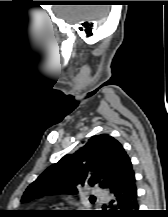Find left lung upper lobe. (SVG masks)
Wrapping results in <instances>:
<instances>
[{
  "mask_svg": "<svg viewBox=\"0 0 168 217\" xmlns=\"http://www.w3.org/2000/svg\"><path fill=\"white\" fill-rule=\"evenodd\" d=\"M132 171L130 158L116 139L107 134L92 136L76 152L47 168L28 186L21 201L50 194H77L84 185L112 191L122 186Z\"/></svg>",
  "mask_w": 168,
  "mask_h": 217,
  "instance_id": "obj_1",
  "label": "left lung upper lobe"
}]
</instances>
